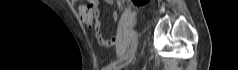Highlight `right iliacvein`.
<instances>
[{
	"mask_svg": "<svg viewBox=\"0 0 238 70\" xmlns=\"http://www.w3.org/2000/svg\"><path fill=\"white\" fill-rule=\"evenodd\" d=\"M132 58H133V56H131V57L128 59V61H127V62H130V61L132 60Z\"/></svg>",
	"mask_w": 238,
	"mask_h": 70,
	"instance_id": "right-iliac-vein-1",
	"label": "right iliac vein"
}]
</instances>
